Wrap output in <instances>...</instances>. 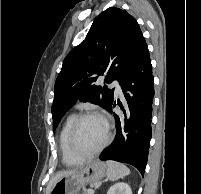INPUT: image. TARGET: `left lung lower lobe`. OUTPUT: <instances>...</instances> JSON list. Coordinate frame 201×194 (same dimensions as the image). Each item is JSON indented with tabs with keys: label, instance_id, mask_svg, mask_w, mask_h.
<instances>
[{
	"label": "left lung lower lobe",
	"instance_id": "obj_1",
	"mask_svg": "<svg viewBox=\"0 0 201 194\" xmlns=\"http://www.w3.org/2000/svg\"><path fill=\"white\" fill-rule=\"evenodd\" d=\"M153 85L152 65L144 40L120 81L129 107V118H125V123L121 127L119 117L113 113L116 119V136L112 144L101 154V160L128 163L144 174L152 131ZM112 106L109 112H112Z\"/></svg>",
	"mask_w": 201,
	"mask_h": 194
}]
</instances>
